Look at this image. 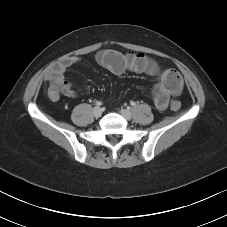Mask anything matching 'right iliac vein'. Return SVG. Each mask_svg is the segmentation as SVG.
<instances>
[{"instance_id":"obj_1","label":"right iliac vein","mask_w":227,"mask_h":227,"mask_svg":"<svg viewBox=\"0 0 227 227\" xmlns=\"http://www.w3.org/2000/svg\"><path fill=\"white\" fill-rule=\"evenodd\" d=\"M93 114L95 117H100L102 115V109L100 107H95L93 109Z\"/></svg>"}]
</instances>
